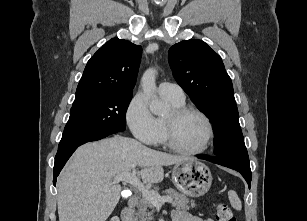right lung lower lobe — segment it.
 <instances>
[{
	"label": "right lung lower lobe",
	"instance_id": "obj_1",
	"mask_svg": "<svg viewBox=\"0 0 307 221\" xmlns=\"http://www.w3.org/2000/svg\"><path fill=\"white\" fill-rule=\"evenodd\" d=\"M110 135V134H108ZM108 135L99 136V137H91L84 139L82 141H79L77 143H74L72 145L66 146L64 148L58 149V152L55 156V162H54V172H53V184L56 185L57 176L59 175L60 171L62 170L63 166L67 162V160L70 158V156L73 154V152L82 144H85L90 141H96L100 140Z\"/></svg>",
	"mask_w": 307,
	"mask_h": 221
}]
</instances>
